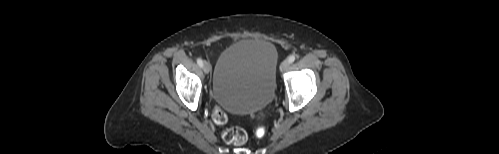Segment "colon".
<instances>
[{"mask_svg": "<svg viewBox=\"0 0 499 154\" xmlns=\"http://www.w3.org/2000/svg\"><path fill=\"white\" fill-rule=\"evenodd\" d=\"M212 119L215 124L223 126L228 122V115L221 107L216 106L212 112ZM222 138L227 143L242 145L247 141V133L242 128L230 127L223 131Z\"/></svg>", "mask_w": 499, "mask_h": 154, "instance_id": "1", "label": "colon"}]
</instances>
